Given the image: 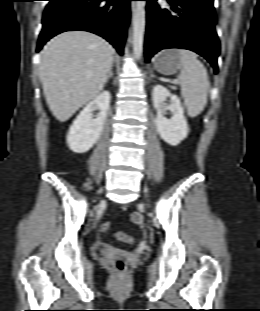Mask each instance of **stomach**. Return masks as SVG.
<instances>
[{
	"label": "stomach",
	"instance_id": "obj_1",
	"mask_svg": "<svg viewBox=\"0 0 260 311\" xmlns=\"http://www.w3.org/2000/svg\"><path fill=\"white\" fill-rule=\"evenodd\" d=\"M181 67V56L176 49L164 50L154 60V69L163 75L175 74Z\"/></svg>",
	"mask_w": 260,
	"mask_h": 311
}]
</instances>
